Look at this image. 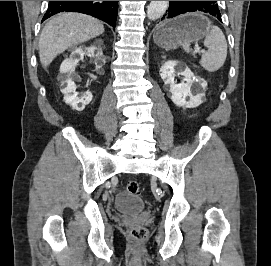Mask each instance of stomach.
Masks as SVG:
<instances>
[{
  "instance_id": "obj_1",
  "label": "stomach",
  "mask_w": 271,
  "mask_h": 266,
  "mask_svg": "<svg viewBox=\"0 0 271 266\" xmlns=\"http://www.w3.org/2000/svg\"><path fill=\"white\" fill-rule=\"evenodd\" d=\"M210 27L209 20L199 13H188L159 24L154 42L166 50L175 49L183 42H195L205 36Z\"/></svg>"
}]
</instances>
